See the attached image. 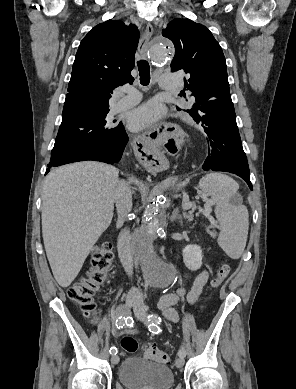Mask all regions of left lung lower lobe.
I'll use <instances>...</instances> for the list:
<instances>
[{"label":"left lung lower lobe","mask_w":296,"mask_h":389,"mask_svg":"<svg viewBox=\"0 0 296 389\" xmlns=\"http://www.w3.org/2000/svg\"><path fill=\"white\" fill-rule=\"evenodd\" d=\"M208 107L201 125L206 133L207 153L203 169L225 171L243 178L250 189V172L242 147L231 96Z\"/></svg>","instance_id":"left-lung-lower-lobe-1"}]
</instances>
